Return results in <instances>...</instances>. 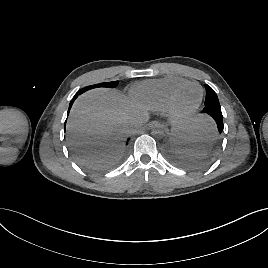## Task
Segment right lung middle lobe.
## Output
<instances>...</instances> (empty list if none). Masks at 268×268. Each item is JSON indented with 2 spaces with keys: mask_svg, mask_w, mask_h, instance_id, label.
Instances as JSON below:
<instances>
[{
  "mask_svg": "<svg viewBox=\"0 0 268 268\" xmlns=\"http://www.w3.org/2000/svg\"><path fill=\"white\" fill-rule=\"evenodd\" d=\"M118 81H113V82H105V83H100V84H96V85H92V86H87L82 90V93L89 90V89H93V88H97V87H108V88H115L118 85Z\"/></svg>",
  "mask_w": 268,
  "mask_h": 268,
  "instance_id": "right-lung-middle-lobe-1",
  "label": "right lung middle lobe"
}]
</instances>
